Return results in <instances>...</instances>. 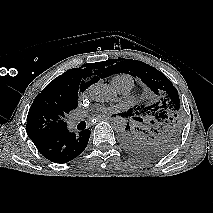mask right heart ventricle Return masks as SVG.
Wrapping results in <instances>:
<instances>
[{
	"label": "right heart ventricle",
	"instance_id": "right-heart-ventricle-1",
	"mask_svg": "<svg viewBox=\"0 0 213 213\" xmlns=\"http://www.w3.org/2000/svg\"><path fill=\"white\" fill-rule=\"evenodd\" d=\"M112 81H115L117 83H122V82H125V81H130L133 84L132 78L129 75H126V74L117 75V76H115L112 79Z\"/></svg>",
	"mask_w": 213,
	"mask_h": 213
}]
</instances>
